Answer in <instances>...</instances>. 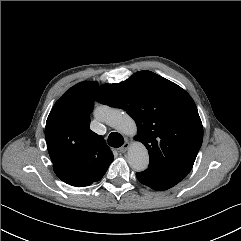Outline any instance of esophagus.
<instances>
[{"mask_svg":"<svg viewBox=\"0 0 241 241\" xmlns=\"http://www.w3.org/2000/svg\"><path fill=\"white\" fill-rule=\"evenodd\" d=\"M129 146H130V144L126 140V142L123 144V146L118 149V152L125 153L127 151V149L129 148Z\"/></svg>","mask_w":241,"mask_h":241,"instance_id":"esophagus-1","label":"esophagus"}]
</instances>
